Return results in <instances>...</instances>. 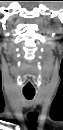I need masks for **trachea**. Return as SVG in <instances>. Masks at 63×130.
Wrapping results in <instances>:
<instances>
[{
	"label": "trachea",
	"instance_id": "3493384b",
	"mask_svg": "<svg viewBox=\"0 0 63 130\" xmlns=\"http://www.w3.org/2000/svg\"><path fill=\"white\" fill-rule=\"evenodd\" d=\"M23 94H24V97H25L26 99H28V100L33 99V97H34V95H35L34 92H23Z\"/></svg>",
	"mask_w": 63,
	"mask_h": 130
}]
</instances>
